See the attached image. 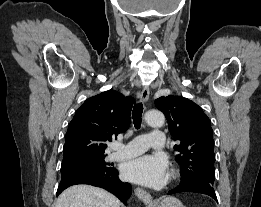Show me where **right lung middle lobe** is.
Here are the masks:
<instances>
[{
  "instance_id": "right-lung-middle-lobe-1",
  "label": "right lung middle lobe",
  "mask_w": 261,
  "mask_h": 207,
  "mask_svg": "<svg viewBox=\"0 0 261 207\" xmlns=\"http://www.w3.org/2000/svg\"><path fill=\"white\" fill-rule=\"evenodd\" d=\"M106 155L83 156L64 160L61 164V174L66 175L80 171H102L113 168L104 161Z\"/></svg>"
}]
</instances>
